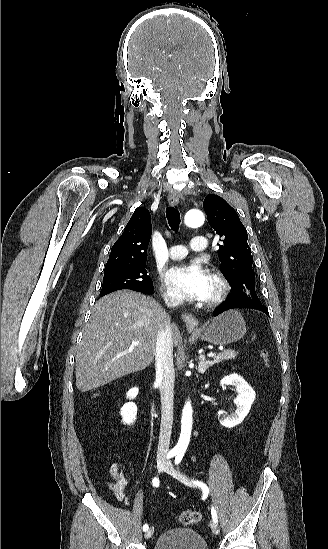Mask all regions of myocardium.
I'll return each instance as SVG.
<instances>
[{"mask_svg":"<svg viewBox=\"0 0 328 549\" xmlns=\"http://www.w3.org/2000/svg\"><path fill=\"white\" fill-rule=\"evenodd\" d=\"M206 265L210 268H219L216 264L211 262L206 263ZM212 279L216 284V291L212 297L204 300V304L209 308L216 307L223 302L229 292V283L222 274L215 272L212 275Z\"/></svg>","mask_w":328,"mask_h":549,"instance_id":"1","label":"myocardium"}]
</instances>
